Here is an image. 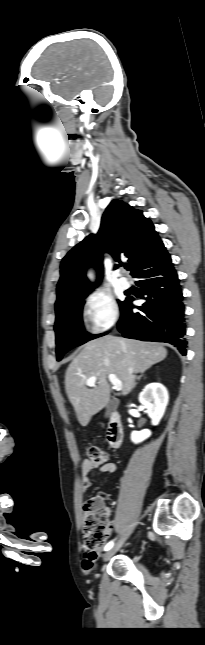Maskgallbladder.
<instances>
[{
    "mask_svg": "<svg viewBox=\"0 0 205 645\" xmlns=\"http://www.w3.org/2000/svg\"><path fill=\"white\" fill-rule=\"evenodd\" d=\"M116 408V403L114 401L109 402L106 412H105V417H109L110 414L115 410Z\"/></svg>",
    "mask_w": 205,
    "mask_h": 645,
    "instance_id": "gallbladder-1",
    "label": "gallbladder"
}]
</instances>
